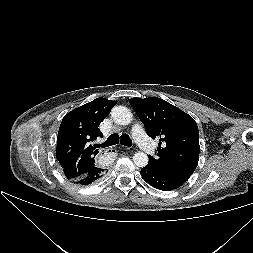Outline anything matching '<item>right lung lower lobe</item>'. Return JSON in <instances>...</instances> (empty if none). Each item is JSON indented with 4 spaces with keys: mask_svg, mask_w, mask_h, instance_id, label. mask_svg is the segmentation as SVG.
Wrapping results in <instances>:
<instances>
[{
    "mask_svg": "<svg viewBox=\"0 0 253 253\" xmlns=\"http://www.w3.org/2000/svg\"><path fill=\"white\" fill-rule=\"evenodd\" d=\"M104 173H105L104 169L95 167L91 171H89L87 175L83 176L80 179L74 180L73 182L81 186H86L102 178Z\"/></svg>",
    "mask_w": 253,
    "mask_h": 253,
    "instance_id": "98d812e1",
    "label": "right lung lower lobe"
}]
</instances>
